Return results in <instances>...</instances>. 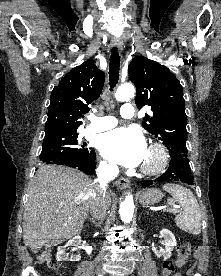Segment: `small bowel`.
Segmentation results:
<instances>
[{
    "instance_id": "obj_1",
    "label": "small bowel",
    "mask_w": 221,
    "mask_h": 276,
    "mask_svg": "<svg viewBox=\"0 0 221 276\" xmlns=\"http://www.w3.org/2000/svg\"><path fill=\"white\" fill-rule=\"evenodd\" d=\"M173 276H181L180 273H175Z\"/></svg>"
}]
</instances>
